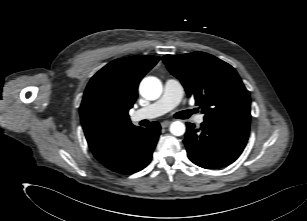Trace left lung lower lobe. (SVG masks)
I'll return each instance as SVG.
<instances>
[{
	"label": "left lung lower lobe",
	"instance_id": "obj_1",
	"mask_svg": "<svg viewBox=\"0 0 307 221\" xmlns=\"http://www.w3.org/2000/svg\"><path fill=\"white\" fill-rule=\"evenodd\" d=\"M250 128L229 122L204 121L200 128L187 123L184 143L189 159L203 168L233 163L242 153Z\"/></svg>",
	"mask_w": 307,
	"mask_h": 221
}]
</instances>
